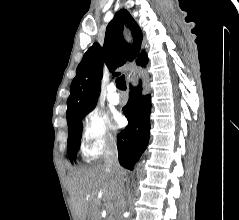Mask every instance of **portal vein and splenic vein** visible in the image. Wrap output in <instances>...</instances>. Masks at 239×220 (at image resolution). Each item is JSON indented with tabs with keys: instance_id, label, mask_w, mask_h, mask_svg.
Wrapping results in <instances>:
<instances>
[{
	"instance_id": "18ae733b",
	"label": "portal vein and splenic vein",
	"mask_w": 239,
	"mask_h": 220,
	"mask_svg": "<svg viewBox=\"0 0 239 220\" xmlns=\"http://www.w3.org/2000/svg\"><path fill=\"white\" fill-rule=\"evenodd\" d=\"M111 209L113 208V204H110Z\"/></svg>"
}]
</instances>
